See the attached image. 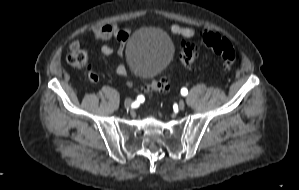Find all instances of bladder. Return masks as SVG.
Masks as SVG:
<instances>
[{
	"label": "bladder",
	"mask_w": 299,
	"mask_h": 190,
	"mask_svg": "<svg viewBox=\"0 0 299 190\" xmlns=\"http://www.w3.org/2000/svg\"><path fill=\"white\" fill-rule=\"evenodd\" d=\"M174 55L170 38L157 29H141L135 32L125 48V58L130 73L145 79L157 77Z\"/></svg>",
	"instance_id": "bladder-1"
}]
</instances>
